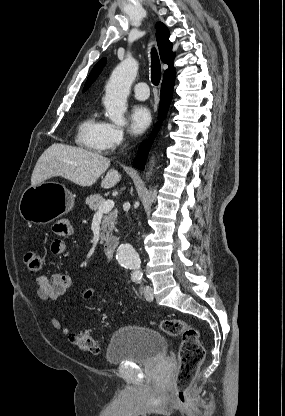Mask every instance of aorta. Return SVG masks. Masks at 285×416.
<instances>
[{
  "label": "aorta",
  "instance_id": "obj_1",
  "mask_svg": "<svg viewBox=\"0 0 285 416\" xmlns=\"http://www.w3.org/2000/svg\"><path fill=\"white\" fill-rule=\"evenodd\" d=\"M137 72V61L132 57H127L114 69L106 85L104 105L107 116L117 125L125 123L124 113L127 110V97ZM117 260L121 266L132 270L134 274L142 275L141 260L132 245H120L117 249Z\"/></svg>",
  "mask_w": 285,
  "mask_h": 416
}]
</instances>
